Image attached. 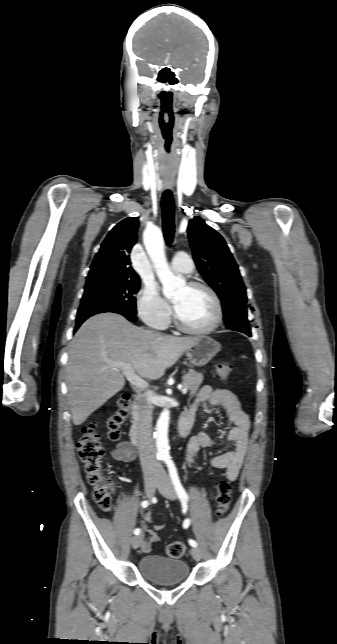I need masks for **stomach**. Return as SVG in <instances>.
<instances>
[{
	"mask_svg": "<svg viewBox=\"0 0 337 644\" xmlns=\"http://www.w3.org/2000/svg\"><path fill=\"white\" fill-rule=\"evenodd\" d=\"M221 345L209 336H199L196 343L186 351L189 361L195 366L206 365L219 351Z\"/></svg>",
	"mask_w": 337,
	"mask_h": 644,
	"instance_id": "obj_1",
	"label": "stomach"
}]
</instances>
